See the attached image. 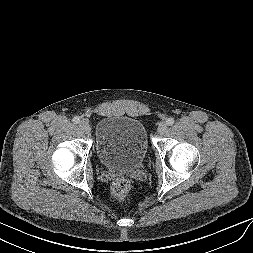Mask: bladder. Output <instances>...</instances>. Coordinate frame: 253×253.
I'll return each instance as SVG.
<instances>
[{
  "mask_svg": "<svg viewBox=\"0 0 253 253\" xmlns=\"http://www.w3.org/2000/svg\"><path fill=\"white\" fill-rule=\"evenodd\" d=\"M148 149L147 130L137 119L105 116L96 124L95 151L106 168H137L143 163Z\"/></svg>",
  "mask_w": 253,
  "mask_h": 253,
  "instance_id": "1",
  "label": "bladder"
}]
</instances>
